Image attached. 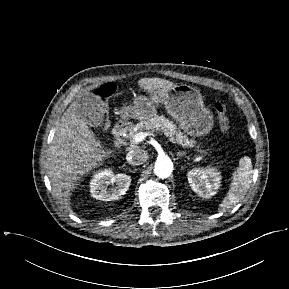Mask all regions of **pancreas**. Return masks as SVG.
<instances>
[{
	"mask_svg": "<svg viewBox=\"0 0 289 289\" xmlns=\"http://www.w3.org/2000/svg\"><path fill=\"white\" fill-rule=\"evenodd\" d=\"M144 130L152 131H162L166 136L170 137V140L174 143L180 144L185 147H193V140H189L186 135L178 130L177 126L164 116L154 115L147 121H141L140 123L134 125L130 129L129 138L132 143L134 136Z\"/></svg>",
	"mask_w": 289,
	"mask_h": 289,
	"instance_id": "pancreas-1",
	"label": "pancreas"
}]
</instances>
